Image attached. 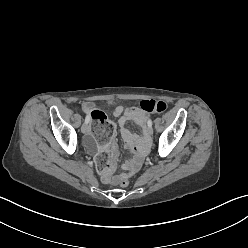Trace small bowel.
<instances>
[{"instance_id":"c3829d8e","label":"small bowel","mask_w":248,"mask_h":248,"mask_svg":"<svg viewBox=\"0 0 248 248\" xmlns=\"http://www.w3.org/2000/svg\"><path fill=\"white\" fill-rule=\"evenodd\" d=\"M95 109V105L91 102L85 103L82 106V110L90 117V113ZM113 115L118 118V125L120 128V134L126 144L127 150L132 154V158L122 163L121 168L129 173L139 170L142 164L143 157L147 149V141L144 136L132 133L127 124L133 122L146 130L149 115L142 111L139 107L124 108L123 106H116L113 109ZM86 145L90 150H95L94 138L92 135H88L86 138ZM108 149L111 154V160L109 168L105 173V181L110 182V175L115 171L116 161L118 158V149L114 142L109 143Z\"/></svg>"}]
</instances>
